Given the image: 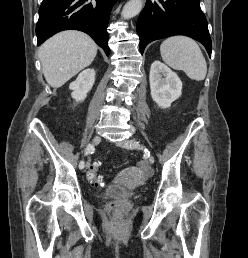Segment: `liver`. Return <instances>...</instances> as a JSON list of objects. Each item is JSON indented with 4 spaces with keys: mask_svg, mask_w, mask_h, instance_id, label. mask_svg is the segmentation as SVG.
I'll use <instances>...</instances> for the list:
<instances>
[{
    "mask_svg": "<svg viewBox=\"0 0 248 258\" xmlns=\"http://www.w3.org/2000/svg\"><path fill=\"white\" fill-rule=\"evenodd\" d=\"M97 54V45L85 33L64 31L45 41L39 58L47 83L59 88L88 67Z\"/></svg>",
    "mask_w": 248,
    "mask_h": 258,
    "instance_id": "obj_1",
    "label": "liver"
}]
</instances>
